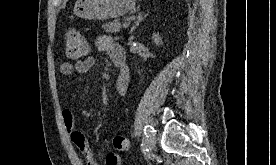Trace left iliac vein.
<instances>
[{"label": "left iliac vein", "mask_w": 276, "mask_h": 165, "mask_svg": "<svg viewBox=\"0 0 276 165\" xmlns=\"http://www.w3.org/2000/svg\"><path fill=\"white\" fill-rule=\"evenodd\" d=\"M156 145V133L153 132L151 137L149 138V146L154 147Z\"/></svg>", "instance_id": "1"}]
</instances>
